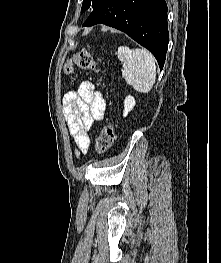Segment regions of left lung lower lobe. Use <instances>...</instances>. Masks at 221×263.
<instances>
[{
	"instance_id": "left-lung-lower-lobe-1",
	"label": "left lung lower lobe",
	"mask_w": 221,
	"mask_h": 263,
	"mask_svg": "<svg viewBox=\"0 0 221 263\" xmlns=\"http://www.w3.org/2000/svg\"><path fill=\"white\" fill-rule=\"evenodd\" d=\"M99 23L123 31L147 48L162 70L169 39L165 0H103L83 26Z\"/></svg>"
}]
</instances>
